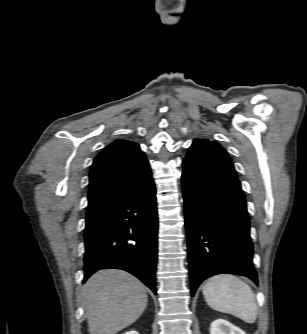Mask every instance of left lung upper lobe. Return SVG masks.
<instances>
[{"instance_id": "1", "label": "left lung upper lobe", "mask_w": 307, "mask_h": 334, "mask_svg": "<svg viewBox=\"0 0 307 334\" xmlns=\"http://www.w3.org/2000/svg\"><path fill=\"white\" fill-rule=\"evenodd\" d=\"M183 167L207 173L226 175L237 179L232 160L217 142L195 139L183 160Z\"/></svg>"}]
</instances>
